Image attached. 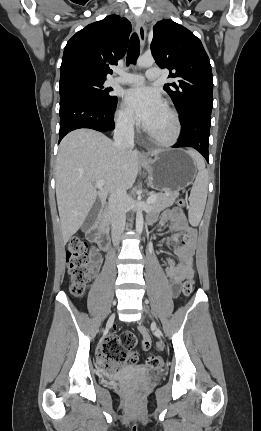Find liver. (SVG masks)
I'll list each match as a JSON object with an SVG mask.
<instances>
[{
  "instance_id": "1",
  "label": "liver",
  "mask_w": 261,
  "mask_h": 431,
  "mask_svg": "<svg viewBox=\"0 0 261 431\" xmlns=\"http://www.w3.org/2000/svg\"><path fill=\"white\" fill-rule=\"evenodd\" d=\"M159 151H153L156 155ZM138 153L121 152L108 137L92 129L66 135L56 161V198L64 244L82 226L97 197L130 189L138 174ZM103 180L97 191L95 181Z\"/></svg>"
}]
</instances>
